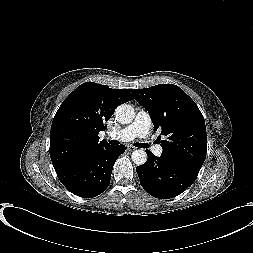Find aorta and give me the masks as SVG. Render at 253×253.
<instances>
[{
  "instance_id": "aorta-1",
  "label": "aorta",
  "mask_w": 253,
  "mask_h": 253,
  "mask_svg": "<svg viewBox=\"0 0 253 253\" xmlns=\"http://www.w3.org/2000/svg\"><path fill=\"white\" fill-rule=\"evenodd\" d=\"M116 120L121 124H129L135 118L134 108L129 104L119 105L115 110ZM132 161L136 165H143L147 161V154L143 149H138L132 152Z\"/></svg>"
}]
</instances>
